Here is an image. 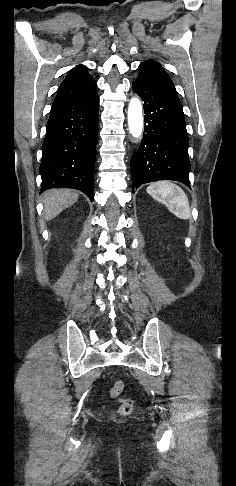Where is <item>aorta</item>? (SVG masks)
Segmentation results:
<instances>
[{"instance_id": "762f6f07", "label": "aorta", "mask_w": 236, "mask_h": 486, "mask_svg": "<svg viewBox=\"0 0 236 486\" xmlns=\"http://www.w3.org/2000/svg\"><path fill=\"white\" fill-rule=\"evenodd\" d=\"M129 132L134 138H139L143 130L142 105L138 98H132L128 107Z\"/></svg>"}]
</instances>
